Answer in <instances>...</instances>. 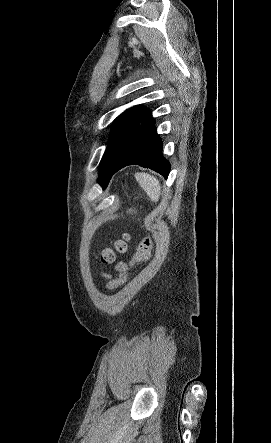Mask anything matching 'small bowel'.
<instances>
[{"label": "small bowel", "mask_w": 271, "mask_h": 443, "mask_svg": "<svg viewBox=\"0 0 271 443\" xmlns=\"http://www.w3.org/2000/svg\"><path fill=\"white\" fill-rule=\"evenodd\" d=\"M119 267H120V268H124V265H123V264H121V265H119Z\"/></svg>", "instance_id": "small-bowel-1"}]
</instances>
